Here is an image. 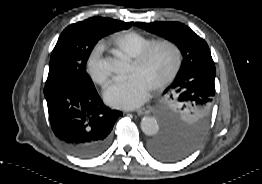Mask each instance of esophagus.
I'll use <instances>...</instances> for the list:
<instances>
[{
    "label": "esophagus",
    "instance_id": "obj_1",
    "mask_svg": "<svg viewBox=\"0 0 262 184\" xmlns=\"http://www.w3.org/2000/svg\"><path fill=\"white\" fill-rule=\"evenodd\" d=\"M152 111H153L152 106H146V107L138 109L136 112H137L138 115H144V114H149Z\"/></svg>",
    "mask_w": 262,
    "mask_h": 184
}]
</instances>
